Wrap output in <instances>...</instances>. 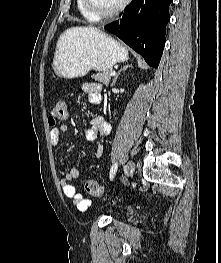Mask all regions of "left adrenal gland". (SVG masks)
I'll return each instance as SVG.
<instances>
[{
  "label": "left adrenal gland",
  "mask_w": 221,
  "mask_h": 263,
  "mask_svg": "<svg viewBox=\"0 0 221 263\" xmlns=\"http://www.w3.org/2000/svg\"><path fill=\"white\" fill-rule=\"evenodd\" d=\"M129 67H132V65H125L124 67H122V68L120 69V71L117 73V75H116L115 78L113 79V82H112L111 86H114V85H115V83H116L119 75L121 74V72H122V71H125V70L128 69Z\"/></svg>",
  "instance_id": "left-adrenal-gland-1"
}]
</instances>
